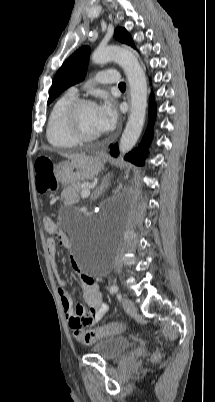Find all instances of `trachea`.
I'll list each match as a JSON object with an SVG mask.
<instances>
[{"instance_id":"obj_1","label":"trachea","mask_w":215,"mask_h":402,"mask_svg":"<svg viewBox=\"0 0 215 402\" xmlns=\"http://www.w3.org/2000/svg\"><path fill=\"white\" fill-rule=\"evenodd\" d=\"M119 88H126V84L125 83H120Z\"/></svg>"}]
</instances>
